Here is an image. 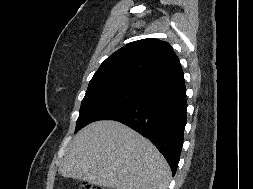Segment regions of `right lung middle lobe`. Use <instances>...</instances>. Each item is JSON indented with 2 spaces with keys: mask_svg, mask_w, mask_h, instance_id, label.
<instances>
[{
  "mask_svg": "<svg viewBox=\"0 0 253 189\" xmlns=\"http://www.w3.org/2000/svg\"><path fill=\"white\" fill-rule=\"evenodd\" d=\"M147 92L128 86H106L86 91L75 133L87 124L138 101Z\"/></svg>",
  "mask_w": 253,
  "mask_h": 189,
  "instance_id": "1",
  "label": "right lung middle lobe"
}]
</instances>
